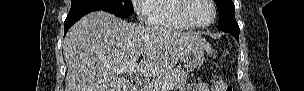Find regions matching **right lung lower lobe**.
<instances>
[{"mask_svg":"<svg viewBox=\"0 0 304 91\" xmlns=\"http://www.w3.org/2000/svg\"><path fill=\"white\" fill-rule=\"evenodd\" d=\"M99 10L108 12L106 9L100 8V7L95 6V5H90V4L72 6L71 9H70L69 14L67 15L65 23H64V27H65L64 35L67 33L69 28L76 21H78L80 18H82L84 15H86L90 12L99 11Z\"/></svg>","mask_w":304,"mask_h":91,"instance_id":"right-lung-lower-lobe-1","label":"right lung lower lobe"}]
</instances>
